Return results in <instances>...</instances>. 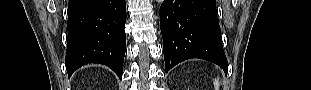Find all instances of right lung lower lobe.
<instances>
[{
  "mask_svg": "<svg viewBox=\"0 0 311 90\" xmlns=\"http://www.w3.org/2000/svg\"><path fill=\"white\" fill-rule=\"evenodd\" d=\"M65 65L68 75L101 63L122 78L126 51L125 0H69Z\"/></svg>",
  "mask_w": 311,
  "mask_h": 90,
  "instance_id": "obj_1",
  "label": "right lung lower lobe"
}]
</instances>
